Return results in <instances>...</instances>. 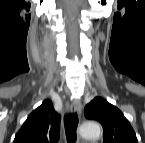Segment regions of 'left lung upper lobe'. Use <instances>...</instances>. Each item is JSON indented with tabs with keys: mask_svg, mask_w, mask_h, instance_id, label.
<instances>
[{
	"mask_svg": "<svg viewBox=\"0 0 145 143\" xmlns=\"http://www.w3.org/2000/svg\"><path fill=\"white\" fill-rule=\"evenodd\" d=\"M85 117L102 124L104 143H138L136 134L123 113L101 97H95L86 106Z\"/></svg>",
	"mask_w": 145,
	"mask_h": 143,
	"instance_id": "obj_1",
	"label": "left lung upper lobe"
}]
</instances>
